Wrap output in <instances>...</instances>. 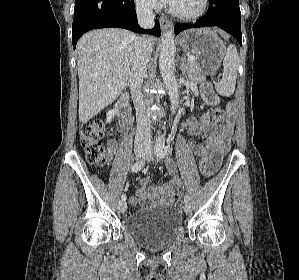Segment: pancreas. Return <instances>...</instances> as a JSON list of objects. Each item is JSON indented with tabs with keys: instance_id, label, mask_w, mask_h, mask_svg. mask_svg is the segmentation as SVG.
I'll use <instances>...</instances> for the list:
<instances>
[{
	"instance_id": "1",
	"label": "pancreas",
	"mask_w": 299,
	"mask_h": 280,
	"mask_svg": "<svg viewBox=\"0 0 299 280\" xmlns=\"http://www.w3.org/2000/svg\"><path fill=\"white\" fill-rule=\"evenodd\" d=\"M187 71V77L193 84H198L206 81V77L201 71L198 62L194 59L193 61H187L185 65Z\"/></svg>"
}]
</instances>
